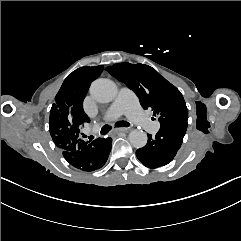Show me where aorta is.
Masks as SVG:
<instances>
[{"label": "aorta", "mask_w": 241, "mask_h": 241, "mask_svg": "<svg viewBox=\"0 0 241 241\" xmlns=\"http://www.w3.org/2000/svg\"><path fill=\"white\" fill-rule=\"evenodd\" d=\"M92 97L101 103H108L115 99L118 93L116 84L106 78L95 80L90 87ZM129 142L135 148H142L147 143V134L142 130H132L128 136Z\"/></svg>", "instance_id": "aorta-1"}]
</instances>
